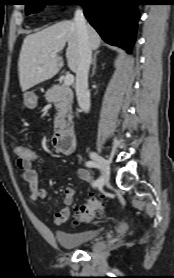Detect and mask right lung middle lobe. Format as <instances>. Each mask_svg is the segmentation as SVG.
Here are the masks:
<instances>
[{
    "label": "right lung middle lobe",
    "mask_w": 174,
    "mask_h": 278,
    "mask_svg": "<svg viewBox=\"0 0 174 278\" xmlns=\"http://www.w3.org/2000/svg\"><path fill=\"white\" fill-rule=\"evenodd\" d=\"M47 1L49 0H26V14H31L33 12H38L43 9L45 5H47ZM78 0H71L72 4H75Z\"/></svg>",
    "instance_id": "obj_1"
}]
</instances>
